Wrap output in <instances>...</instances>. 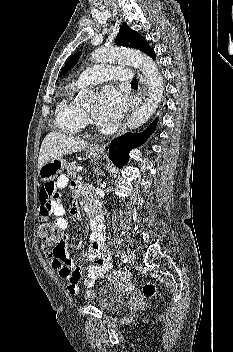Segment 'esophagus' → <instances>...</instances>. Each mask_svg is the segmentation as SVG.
Masks as SVG:
<instances>
[{
  "label": "esophagus",
  "mask_w": 233,
  "mask_h": 352,
  "mask_svg": "<svg viewBox=\"0 0 233 352\" xmlns=\"http://www.w3.org/2000/svg\"><path fill=\"white\" fill-rule=\"evenodd\" d=\"M137 76L140 82V91H139V102L137 104V106L135 108H137L138 106H140L143 101L145 100L146 94H147V84H146V80L145 77L143 76V74H141L139 71H137ZM135 108H132L130 113L128 114V117L130 116V114L135 110ZM126 126H127V122L125 121L122 126L120 127L119 131L117 132L116 136H120L122 135L125 130H126ZM95 148H101L100 145H95Z\"/></svg>",
  "instance_id": "esophagus-1"
}]
</instances>
